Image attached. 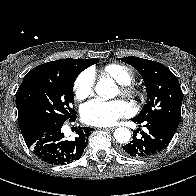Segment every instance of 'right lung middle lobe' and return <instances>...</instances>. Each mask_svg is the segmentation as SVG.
I'll list each match as a JSON object with an SVG mask.
<instances>
[{"label":"right lung middle lobe","mask_w":196,"mask_h":196,"mask_svg":"<svg viewBox=\"0 0 196 196\" xmlns=\"http://www.w3.org/2000/svg\"><path fill=\"white\" fill-rule=\"evenodd\" d=\"M79 73L72 66L57 64L26 74L16 93L21 132L41 124L65 122L75 115L73 84Z\"/></svg>","instance_id":"dd1d6c3e"}]
</instances>
